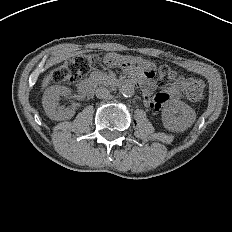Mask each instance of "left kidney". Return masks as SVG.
I'll list each match as a JSON object with an SVG mask.
<instances>
[{
    "label": "left kidney",
    "mask_w": 232,
    "mask_h": 232,
    "mask_svg": "<svg viewBox=\"0 0 232 232\" xmlns=\"http://www.w3.org/2000/svg\"><path fill=\"white\" fill-rule=\"evenodd\" d=\"M196 120L195 111L186 103L175 100L162 110L164 127L172 132H183Z\"/></svg>",
    "instance_id": "5707ae66"
}]
</instances>
